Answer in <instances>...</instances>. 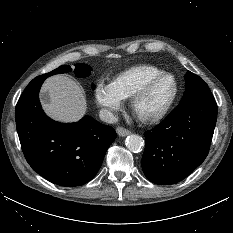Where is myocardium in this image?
Wrapping results in <instances>:
<instances>
[{"label":"myocardium","instance_id":"1","mask_svg":"<svg viewBox=\"0 0 233 233\" xmlns=\"http://www.w3.org/2000/svg\"><path fill=\"white\" fill-rule=\"evenodd\" d=\"M164 78H170L173 81L174 84V89H173V93L170 97V99L168 100V102L166 103V105L158 112L154 113V114H150V115H146L143 114L139 111L138 109V105L140 103V101L150 92V90L153 88V86L159 82L160 80L164 79ZM179 93V85H178V81L175 78L174 75H172L171 73H167L164 72L162 74L156 75L150 79H148L131 97V110L134 114V116L141 122L143 123H155L160 121L161 119H163L168 112L171 110L172 106L174 105L177 96Z\"/></svg>","mask_w":233,"mask_h":233}]
</instances>
